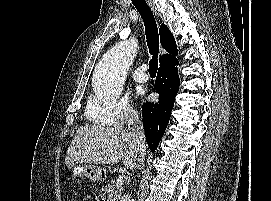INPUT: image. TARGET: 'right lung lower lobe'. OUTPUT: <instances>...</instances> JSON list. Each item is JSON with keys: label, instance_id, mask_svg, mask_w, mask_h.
<instances>
[{"label": "right lung lower lobe", "instance_id": "1", "mask_svg": "<svg viewBox=\"0 0 271 201\" xmlns=\"http://www.w3.org/2000/svg\"><path fill=\"white\" fill-rule=\"evenodd\" d=\"M178 60L161 65L158 69L155 89L159 94L158 103L143 105V125L148 146L154 152L168 125L175 96L179 90Z\"/></svg>", "mask_w": 271, "mask_h": 201}]
</instances>
